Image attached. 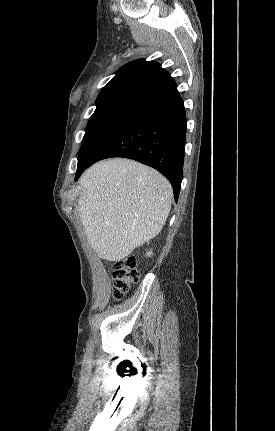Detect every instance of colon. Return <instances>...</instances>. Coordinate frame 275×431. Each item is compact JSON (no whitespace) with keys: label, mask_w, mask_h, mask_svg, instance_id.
Masks as SVG:
<instances>
[{"label":"colon","mask_w":275,"mask_h":431,"mask_svg":"<svg viewBox=\"0 0 275 431\" xmlns=\"http://www.w3.org/2000/svg\"><path fill=\"white\" fill-rule=\"evenodd\" d=\"M113 272V297L121 300L130 290L131 285L139 278L136 269V259L128 256L124 260L116 262L112 266Z\"/></svg>","instance_id":"1"}]
</instances>
